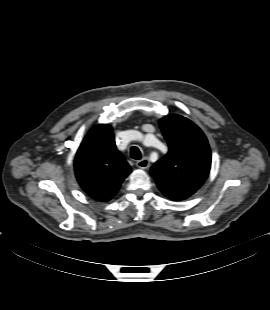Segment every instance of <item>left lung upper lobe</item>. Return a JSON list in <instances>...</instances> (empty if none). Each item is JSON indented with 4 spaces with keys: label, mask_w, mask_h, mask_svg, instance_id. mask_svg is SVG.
Instances as JSON below:
<instances>
[{
    "label": "left lung upper lobe",
    "mask_w": 270,
    "mask_h": 310,
    "mask_svg": "<svg viewBox=\"0 0 270 310\" xmlns=\"http://www.w3.org/2000/svg\"><path fill=\"white\" fill-rule=\"evenodd\" d=\"M169 152L151 168L159 187L197 191L208 177L211 152L204 133L189 119L172 114L159 121Z\"/></svg>",
    "instance_id": "1"
}]
</instances>
